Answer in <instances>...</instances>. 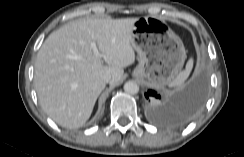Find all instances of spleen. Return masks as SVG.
<instances>
[{
    "mask_svg": "<svg viewBox=\"0 0 244 157\" xmlns=\"http://www.w3.org/2000/svg\"><path fill=\"white\" fill-rule=\"evenodd\" d=\"M193 68V59H189V61L186 64L185 70L181 71L174 80H172L168 86L169 87H179L181 86L184 81L188 78L191 70Z\"/></svg>",
    "mask_w": 244,
    "mask_h": 157,
    "instance_id": "spleen-1",
    "label": "spleen"
}]
</instances>
